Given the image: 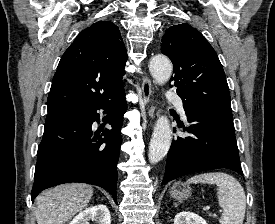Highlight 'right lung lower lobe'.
<instances>
[{
  "mask_svg": "<svg viewBox=\"0 0 275 224\" xmlns=\"http://www.w3.org/2000/svg\"><path fill=\"white\" fill-rule=\"evenodd\" d=\"M100 109L111 113L112 129L102 133L91 128L94 121H100ZM125 111L123 89L112 98L83 109L49 113L37 152L32 201L49 187L82 182L106 189L117 204V163Z\"/></svg>",
  "mask_w": 275,
  "mask_h": 224,
  "instance_id": "1",
  "label": "right lung lower lobe"
}]
</instances>
